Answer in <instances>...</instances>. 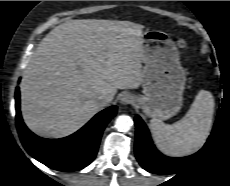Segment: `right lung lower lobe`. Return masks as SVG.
I'll return each instance as SVG.
<instances>
[{"label":"right lung lower lobe","instance_id":"obj_1","mask_svg":"<svg viewBox=\"0 0 230 186\" xmlns=\"http://www.w3.org/2000/svg\"><path fill=\"white\" fill-rule=\"evenodd\" d=\"M15 101L17 129L24 148L49 168L65 172L80 170L94 160L102 132L117 112V107L111 106L68 137L44 139L32 133L22 120L19 87L16 88Z\"/></svg>","mask_w":230,"mask_h":186}]
</instances>
